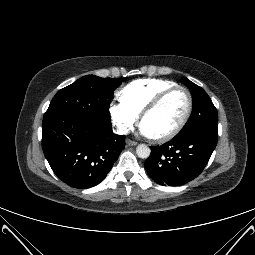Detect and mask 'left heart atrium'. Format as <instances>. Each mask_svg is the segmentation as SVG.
I'll return each instance as SVG.
<instances>
[{
	"label": "left heart atrium",
	"instance_id": "39dd6f15",
	"mask_svg": "<svg viewBox=\"0 0 255 255\" xmlns=\"http://www.w3.org/2000/svg\"><path fill=\"white\" fill-rule=\"evenodd\" d=\"M140 133L148 138H153L152 133L150 132V130L142 123L140 126Z\"/></svg>",
	"mask_w": 255,
	"mask_h": 255
}]
</instances>
